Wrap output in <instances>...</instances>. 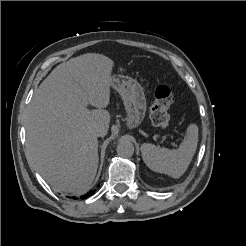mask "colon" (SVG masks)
I'll return each mask as SVG.
<instances>
[{"label":"colon","instance_id":"1","mask_svg":"<svg viewBox=\"0 0 246 246\" xmlns=\"http://www.w3.org/2000/svg\"><path fill=\"white\" fill-rule=\"evenodd\" d=\"M174 101V92L169 86L161 85L156 88L155 100L150 109V118L154 125L167 127L170 124L168 110Z\"/></svg>","mask_w":246,"mask_h":246}]
</instances>
